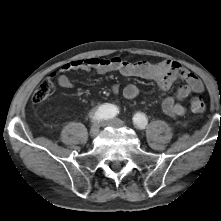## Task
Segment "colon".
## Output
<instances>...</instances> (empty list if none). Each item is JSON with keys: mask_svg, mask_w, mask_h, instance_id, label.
I'll use <instances>...</instances> for the list:
<instances>
[{"mask_svg": "<svg viewBox=\"0 0 221 221\" xmlns=\"http://www.w3.org/2000/svg\"><path fill=\"white\" fill-rule=\"evenodd\" d=\"M55 85L51 78H45L40 82L38 87L32 94V101L34 103H41L48 99L54 92ZM191 110L194 113L202 114L205 111L204 101L200 97H194L191 100Z\"/></svg>", "mask_w": 221, "mask_h": 221, "instance_id": "colon-1", "label": "colon"}]
</instances>
